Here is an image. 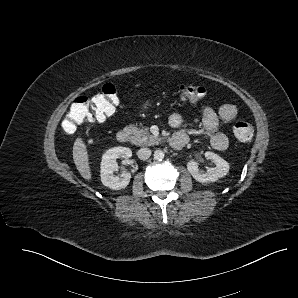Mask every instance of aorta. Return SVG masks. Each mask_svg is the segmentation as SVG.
<instances>
[{
    "instance_id": "aorta-1",
    "label": "aorta",
    "mask_w": 298,
    "mask_h": 298,
    "mask_svg": "<svg viewBox=\"0 0 298 298\" xmlns=\"http://www.w3.org/2000/svg\"><path fill=\"white\" fill-rule=\"evenodd\" d=\"M153 155H154V159L161 160L164 157V152L161 149H156L154 151V154Z\"/></svg>"
}]
</instances>
